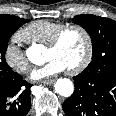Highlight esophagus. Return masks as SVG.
<instances>
[{"instance_id":"1","label":"esophagus","mask_w":116,"mask_h":116,"mask_svg":"<svg viewBox=\"0 0 116 116\" xmlns=\"http://www.w3.org/2000/svg\"><path fill=\"white\" fill-rule=\"evenodd\" d=\"M43 83H44L45 85H51V84L54 83V80H53V79L44 80Z\"/></svg>"}]
</instances>
